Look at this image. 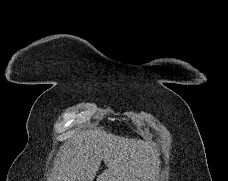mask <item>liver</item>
Here are the masks:
<instances>
[{
	"label": "liver",
	"mask_w": 228,
	"mask_h": 181,
	"mask_svg": "<svg viewBox=\"0 0 228 181\" xmlns=\"http://www.w3.org/2000/svg\"><path fill=\"white\" fill-rule=\"evenodd\" d=\"M158 157L146 141L86 129L77 131L60 149L49 181H94L101 161L107 169L97 181H157Z\"/></svg>",
	"instance_id": "liver-1"
}]
</instances>
